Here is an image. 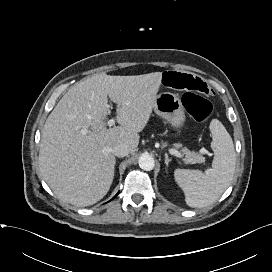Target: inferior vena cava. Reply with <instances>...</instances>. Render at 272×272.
Segmentation results:
<instances>
[{
    "instance_id": "1",
    "label": "inferior vena cava",
    "mask_w": 272,
    "mask_h": 272,
    "mask_svg": "<svg viewBox=\"0 0 272 272\" xmlns=\"http://www.w3.org/2000/svg\"><path fill=\"white\" fill-rule=\"evenodd\" d=\"M112 153L117 157H125L129 154V147L126 144H118L113 147Z\"/></svg>"
}]
</instances>
